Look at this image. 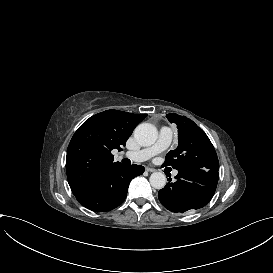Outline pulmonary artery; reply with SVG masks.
Returning a JSON list of instances; mask_svg holds the SVG:
<instances>
[{
  "label": "pulmonary artery",
  "instance_id": "obj_1",
  "mask_svg": "<svg viewBox=\"0 0 273 273\" xmlns=\"http://www.w3.org/2000/svg\"><path fill=\"white\" fill-rule=\"evenodd\" d=\"M161 133L163 135L162 138L160 140H158L157 145L151 147V149L132 151V152H130V154L127 151H123L119 155L120 160L125 161V160L129 159V157L132 160L149 159V158H152V157L156 156L157 154L163 152L164 150L167 149V147L169 145H171L172 141L175 140L176 133H175V131L170 130V128H168V127L162 128ZM172 175L176 176L177 171L174 170L172 172Z\"/></svg>",
  "mask_w": 273,
  "mask_h": 273
}]
</instances>
